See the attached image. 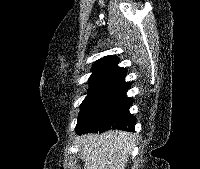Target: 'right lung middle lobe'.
<instances>
[{"label": "right lung middle lobe", "instance_id": "right-lung-middle-lobe-1", "mask_svg": "<svg viewBox=\"0 0 200 169\" xmlns=\"http://www.w3.org/2000/svg\"><path fill=\"white\" fill-rule=\"evenodd\" d=\"M115 85L91 88L81 104L76 131L108 100L114 92Z\"/></svg>", "mask_w": 200, "mask_h": 169}]
</instances>
